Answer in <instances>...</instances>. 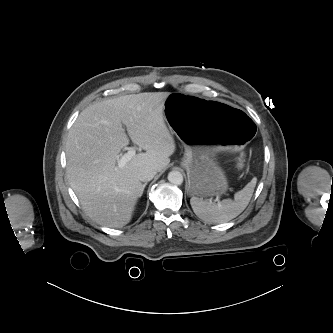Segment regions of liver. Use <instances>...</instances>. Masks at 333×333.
<instances>
[{
    "instance_id": "liver-1",
    "label": "liver",
    "mask_w": 333,
    "mask_h": 333,
    "mask_svg": "<svg viewBox=\"0 0 333 333\" xmlns=\"http://www.w3.org/2000/svg\"><path fill=\"white\" fill-rule=\"evenodd\" d=\"M169 92H145L104 99L84 109L69 130L67 176L85 212L101 225L120 228L132 218L143 185L141 167L161 171L170 162L175 141L164 122ZM132 142L145 150L123 167L121 149Z\"/></svg>"
}]
</instances>
